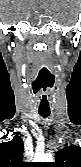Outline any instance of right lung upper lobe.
<instances>
[{
  "label": "right lung upper lobe",
  "instance_id": "right-lung-upper-lobe-1",
  "mask_svg": "<svg viewBox=\"0 0 81 167\" xmlns=\"http://www.w3.org/2000/svg\"><path fill=\"white\" fill-rule=\"evenodd\" d=\"M24 145L20 136L0 144V167H27L23 162Z\"/></svg>",
  "mask_w": 81,
  "mask_h": 167
}]
</instances>
